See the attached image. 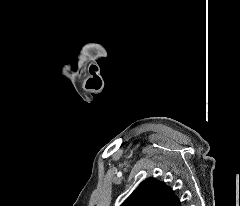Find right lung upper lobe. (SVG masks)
<instances>
[{
	"label": "right lung upper lobe",
	"mask_w": 240,
	"mask_h": 206,
	"mask_svg": "<svg viewBox=\"0 0 240 206\" xmlns=\"http://www.w3.org/2000/svg\"><path fill=\"white\" fill-rule=\"evenodd\" d=\"M121 206H181V204L173 190L154 178H148Z\"/></svg>",
	"instance_id": "1"
}]
</instances>
